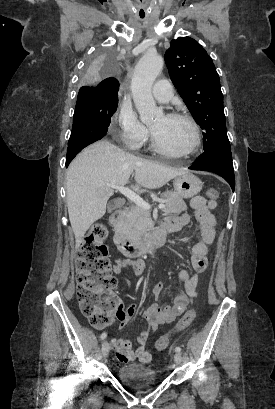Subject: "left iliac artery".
Masks as SVG:
<instances>
[{"instance_id": "obj_1", "label": "left iliac artery", "mask_w": 275, "mask_h": 409, "mask_svg": "<svg viewBox=\"0 0 275 409\" xmlns=\"http://www.w3.org/2000/svg\"><path fill=\"white\" fill-rule=\"evenodd\" d=\"M175 351H176V352H180V351H181V348H180V347H176V348H175Z\"/></svg>"}]
</instances>
